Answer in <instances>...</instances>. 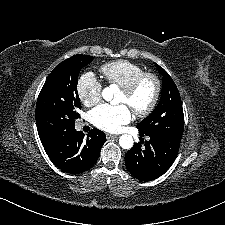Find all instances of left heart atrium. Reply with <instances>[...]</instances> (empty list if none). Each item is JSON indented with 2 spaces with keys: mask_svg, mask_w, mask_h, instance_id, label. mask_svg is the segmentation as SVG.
Masks as SVG:
<instances>
[{
  "mask_svg": "<svg viewBox=\"0 0 225 225\" xmlns=\"http://www.w3.org/2000/svg\"><path fill=\"white\" fill-rule=\"evenodd\" d=\"M90 119L92 124L107 132H118L122 126L132 119V111L125 104L112 106L101 104L91 111Z\"/></svg>",
  "mask_w": 225,
  "mask_h": 225,
  "instance_id": "39dd6f15",
  "label": "left heart atrium"
}]
</instances>
